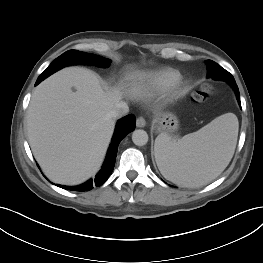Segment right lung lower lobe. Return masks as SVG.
I'll use <instances>...</instances> for the list:
<instances>
[{
  "label": "right lung lower lobe",
  "instance_id": "98d812e1",
  "mask_svg": "<svg viewBox=\"0 0 263 263\" xmlns=\"http://www.w3.org/2000/svg\"><path fill=\"white\" fill-rule=\"evenodd\" d=\"M58 71V70H57ZM56 72V69L48 70L46 69L37 79L36 84L38 85L41 81H43L46 77ZM135 129V116L134 115H127L120 119L116 125V129L112 138V142L110 144L108 154L106 157V160L100 170V172L96 175V178L94 180L90 179L86 183L74 186V187H68V186H61L58 185L61 188L72 190V191H88L93 188V186H100L102 185L110 176V174L113 171L116 155H117V149L118 145L121 142L125 136L133 131Z\"/></svg>",
  "mask_w": 263,
  "mask_h": 263
}]
</instances>
